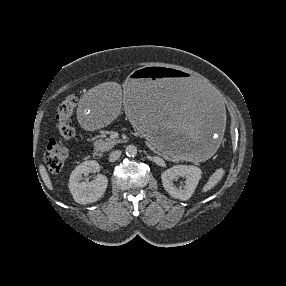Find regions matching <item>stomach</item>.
I'll use <instances>...</instances> for the list:
<instances>
[{"label": "stomach", "instance_id": "obj_1", "mask_svg": "<svg viewBox=\"0 0 286 286\" xmlns=\"http://www.w3.org/2000/svg\"><path fill=\"white\" fill-rule=\"evenodd\" d=\"M124 111L154 144L180 155L212 148L225 123L223 107L208 84L185 71L154 65L131 72L124 93L115 85L102 84L75 106L77 120L90 130L108 125Z\"/></svg>", "mask_w": 286, "mask_h": 286}]
</instances>
